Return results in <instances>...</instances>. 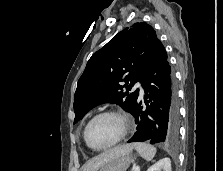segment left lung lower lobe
<instances>
[{"instance_id": "0a47b994", "label": "left lung lower lobe", "mask_w": 223, "mask_h": 171, "mask_svg": "<svg viewBox=\"0 0 223 171\" xmlns=\"http://www.w3.org/2000/svg\"><path fill=\"white\" fill-rule=\"evenodd\" d=\"M141 85L142 102L132 112L138 124L137 132L128 142L173 144L179 134V105L174 73L167 60V53L159 41L149 60Z\"/></svg>"}]
</instances>
